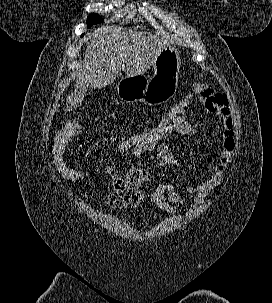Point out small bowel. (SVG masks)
<instances>
[{"label":"small bowel","instance_id":"c3829d8e","mask_svg":"<svg viewBox=\"0 0 272 303\" xmlns=\"http://www.w3.org/2000/svg\"><path fill=\"white\" fill-rule=\"evenodd\" d=\"M197 93L205 110L221 121V150L218 160L213 166L210 177L187 189L185 195L177 193L170 184H160L149 196V201L164 211H172V204H184L190 196H193L191 207L203 203L209 192L224 180L227 164L231 161L234 149V131L231 110L226 95L214 91L212 88L202 85ZM179 134L192 136L195 129L190 126ZM136 157H145L154 161L159 167L175 166L184 172V168L177 161L169 147L160 145L154 148L137 149L132 151ZM114 192L128 193L132 189L142 186L152 180L149 171L142 168H132L125 174H119L113 170L108 171Z\"/></svg>","mask_w":272,"mask_h":303}]
</instances>
